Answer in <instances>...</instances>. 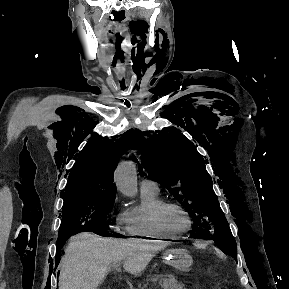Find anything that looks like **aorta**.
<instances>
[{
    "label": "aorta",
    "mask_w": 289,
    "mask_h": 289,
    "mask_svg": "<svg viewBox=\"0 0 289 289\" xmlns=\"http://www.w3.org/2000/svg\"><path fill=\"white\" fill-rule=\"evenodd\" d=\"M114 181L117 189L128 197H133L137 193L136 166L132 161H122L115 173Z\"/></svg>",
    "instance_id": "aorta-1"
}]
</instances>
